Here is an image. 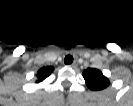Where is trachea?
I'll return each mask as SVG.
<instances>
[{"label": "trachea", "mask_w": 133, "mask_h": 106, "mask_svg": "<svg viewBox=\"0 0 133 106\" xmlns=\"http://www.w3.org/2000/svg\"><path fill=\"white\" fill-rule=\"evenodd\" d=\"M73 62V57L71 55H67L65 58H64V63L65 64H71Z\"/></svg>", "instance_id": "obj_1"}]
</instances>
